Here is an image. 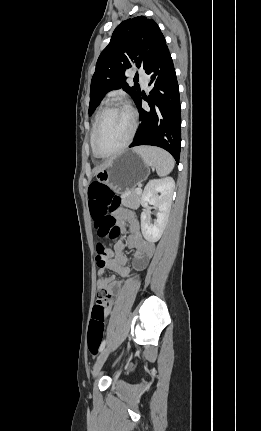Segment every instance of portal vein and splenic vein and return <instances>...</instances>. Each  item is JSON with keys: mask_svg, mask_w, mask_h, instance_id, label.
Segmentation results:
<instances>
[{"mask_svg": "<svg viewBox=\"0 0 261 431\" xmlns=\"http://www.w3.org/2000/svg\"><path fill=\"white\" fill-rule=\"evenodd\" d=\"M136 192H137V193H141V192H142V190H141V186H138V188L136 189Z\"/></svg>", "mask_w": 261, "mask_h": 431, "instance_id": "obj_1", "label": "portal vein and splenic vein"}]
</instances>
